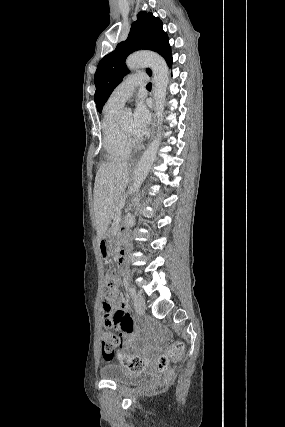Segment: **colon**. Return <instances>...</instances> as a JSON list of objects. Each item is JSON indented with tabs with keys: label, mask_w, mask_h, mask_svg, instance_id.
Here are the masks:
<instances>
[{
	"label": "colon",
	"mask_w": 285,
	"mask_h": 427,
	"mask_svg": "<svg viewBox=\"0 0 285 427\" xmlns=\"http://www.w3.org/2000/svg\"><path fill=\"white\" fill-rule=\"evenodd\" d=\"M106 291L104 299H110L113 294L114 278L111 271H106L105 275ZM122 343L121 326L118 323L112 325L109 331L103 335L102 357L106 361L118 359L121 364L130 370H144L151 368L152 371L166 374L169 372L170 364L184 353V344L180 341L174 342L165 351L153 360L136 355L123 354L119 351ZM170 379L165 377L163 385H168Z\"/></svg>",
	"instance_id": "5ec220e1"
}]
</instances>
